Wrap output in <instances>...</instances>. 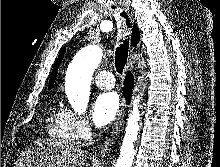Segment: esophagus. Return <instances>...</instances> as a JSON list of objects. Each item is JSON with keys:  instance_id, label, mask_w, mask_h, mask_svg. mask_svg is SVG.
<instances>
[{"instance_id": "1", "label": "esophagus", "mask_w": 220, "mask_h": 167, "mask_svg": "<svg viewBox=\"0 0 220 167\" xmlns=\"http://www.w3.org/2000/svg\"><path fill=\"white\" fill-rule=\"evenodd\" d=\"M126 11L128 13V16L130 17L131 19V14L129 12V9L126 8ZM134 62V58L133 56L130 54V57H129V61H128V65L126 67V70H129L130 67L132 66ZM124 111H125V99L122 98L121 100V104H120V109H119V112L117 114V117H116V122H115V126L110 134V136L105 140V142L103 143L102 147H101V150L99 152V155L101 157H106L110 154L111 150H112V147L115 143V139L117 137V135L119 134L120 132V127L122 125V120H123V116H124Z\"/></svg>"}]
</instances>
